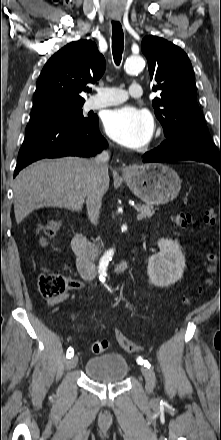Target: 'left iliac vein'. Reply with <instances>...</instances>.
<instances>
[{
  "label": "left iliac vein",
  "instance_id": "4c4485c4",
  "mask_svg": "<svg viewBox=\"0 0 221 440\" xmlns=\"http://www.w3.org/2000/svg\"><path fill=\"white\" fill-rule=\"evenodd\" d=\"M141 372L145 378V382H146V391L151 394L155 388L156 385V377H155V373L153 372L152 369L147 368V367H142L141 368Z\"/></svg>",
  "mask_w": 221,
  "mask_h": 440
}]
</instances>
